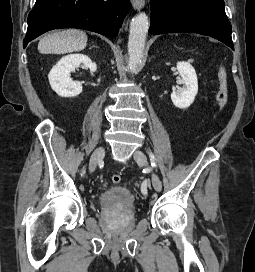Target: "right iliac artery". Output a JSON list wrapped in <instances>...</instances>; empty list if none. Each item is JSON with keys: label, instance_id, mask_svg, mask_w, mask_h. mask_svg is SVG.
<instances>
[{"label": "right iliac artery", "instance_id": "right-iliac-artery-1", "mask_svg": "<svg viewBox=\"0 0 255 272\" xmlns=\"http://www.w3.org/2000/svg\"><path fill=\"white\" fill-rule=\"evenodd\" d=\"M84 174H85V170L82 171V174H81V175L83 176Z\"/></svg>", "mask_w": 255, "mask_h": 272}]
</instances>
